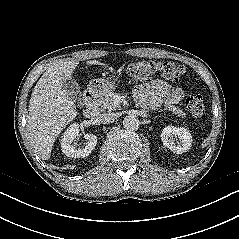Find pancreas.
Instances as JSON below:
<instances>
[{
  "label": "pancreas",
  "mask_w": 239,
  "mask_h": 239,
  "mask_svg": "<svg viewBox=\"0 0 239 239\" xmlns=\"http://www.w3.org/2000/svg\"><path fill=\"white\" fill-rule=\"evenodd\" d=\"M118 96L117 93L115 92H107V93H103L100 97H99V101H98V105L100 106V109L103 110H108V111H112V110H117L120 108L119 103H115V98ZM165 109L168 111H171L173 114L177 115L178 117H185V113L183 112L182 109L168 104L165 106Z\"/></svg>",
  "instance_id": "obj_1"
}]
</instances>
